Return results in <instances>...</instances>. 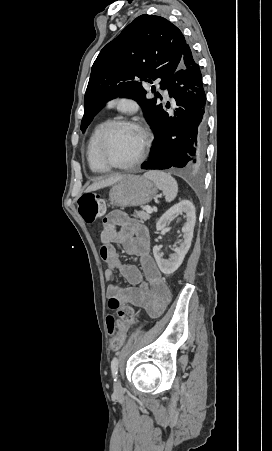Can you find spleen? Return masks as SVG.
Listing matches in <instances>:
<instances>
[{
	"label": "spleen",
	"mask_w": 272,
	"mask_h": 451,
	"mask_svg": "<svg viewBox=\"0 0 272 451\" xmlns=\"http://www.w3.org/2000/svg\"><path fill=\"white\" fill-rule=\"evenodd\" d=\"M144 178L152 180L158 190H162L166 202H172L175 200L178 194V184L171 174H165V172H158V170H152V172H146Z\"/></svg>",
	"instance_id": "1"
}]
</instances>
